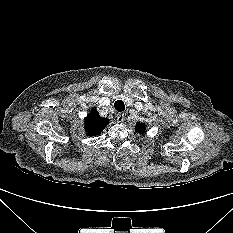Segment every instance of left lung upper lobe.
Here are the masks:
<instances>
[{"label":"left lung upper lobe","instance_id":"5c2ea615","mask_svg":"<svg viewBox=\"0 0 233 233\" xmlns=\"http://www.w3.org/2000/svg\"><path fill=\"white\" fill-rule=\"evenodd\" d=\"M136 130L140 133H144L145 132V125L143 123H138L136 125Z\"/></svg>","mask_w":233,"mask_h":233}]
</instances>
